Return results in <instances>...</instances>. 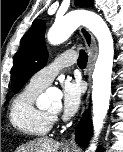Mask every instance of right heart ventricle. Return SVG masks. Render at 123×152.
Returning a JSON list of instances; mask_svg holds the SVG:
<instances>
[{
  "label": "right heart ventricle",
  "mask_w": 123,
  "mask_h": 152,
  "mask_svg": "<svg viewBox=\"0 0 123 152\" xmlns=\"http://www.w3.org/2000/svg\"><path fill=\"white\" fill-rule=\"evenodd\" d=\"M42 90L27 85L11 106L10 122L16 130L25 135L43 137L51 129L52 118L46 111L35 106L36 98Z\"/></svg>",
  "instance_id": "1"
}]
</instances>
